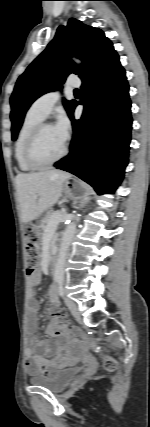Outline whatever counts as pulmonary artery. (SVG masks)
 <instances>
[{
	"label": "pulmonary artery",
	"mask_w": 150,
	"mask_h": 427,
	"mask_svg": "<svg viewBox=\"0 0 150 427\" xmlns=\"http://www.w3.org/2000/svg\"><path fill=\"white\" fill-rule=\"evenodd\" d=\"M80 84H81L80 80L76 77L70 78L66 83L68 88H78ZM59 98H60L59 90L47 92L41 95L39 98H37L33 102L30 109L44 119L51 112L54 105L58 102Z\"/></svg>",
	"instance_id": "1"
}]
</instances>
